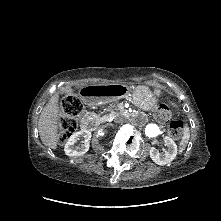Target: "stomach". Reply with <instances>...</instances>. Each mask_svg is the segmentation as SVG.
Here are the masks:
<instances>
[{"label":"stomach","instance_id":"stomach-1","mask_svg":"<svg viewBox=\"0 0 221 221\" xmlns=\"http://www.w3.org/2000/svg\"><path fill=\"white\" fill-rule=\"evenodd\" d=\"M160 94L161 91L157 87L151 90L148 86L140 85L133 88L130 98L135 105L149 109Z\"/></svg>","mask_w":221,"mask_h":221}]
</instances>
